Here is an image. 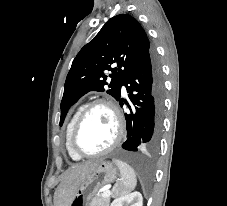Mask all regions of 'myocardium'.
I'll list each match as a JSON object with an SVG mask.
<instances>
[{
  "instance_id": "myocardium-1",
  "label": "myocardium",
  "mask_w": 227,
  "mask_h": 206,
  "mask_svg": "<svg viewBox=\"0 0 227 206\" xmlns=\"http://www.w3.org/2000/svg\"><path fill=\"white\" fill-rule=\"evenodd\" d=\"M97 106H106L107 108L110 109L115 119L116 134L112 143L107 148L95 153H86L80 150L77 146V134L87 114L94 107H97ZM124 131H125V125H124L123 115L121 113V110L117 106V104L109 98H97L91 101L90 103H88L87 105H85V107L82 109L79 116L77 117V120L72 128L71 135H70V147L72 151L80 157H85V158L99 157L111 152L114 148H116L119 145V143L124 137Z\"/></svg>"
}]
</instances>
